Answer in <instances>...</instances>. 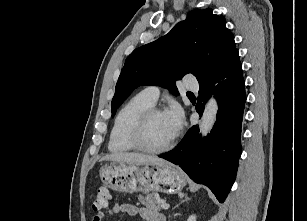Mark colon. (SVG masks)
Returning a JSON list of instances; mask_svg holds the SVG:
<instances>
[{"instance_id":"1","label":"colon","mask_w":307,"mask_h":221,"mask_svg":"<svg viewBox=\"0 0 307 221\" xmlns=\"http://www.w3.org/2000/svg\"><path fill=\"white\" fill-rule=\"evenodd\" d=\"M110 201V193L106 187L99 188L96 199L94 201V209L96 211H103L107 208Z\"/></svg>"}]
</instances>
